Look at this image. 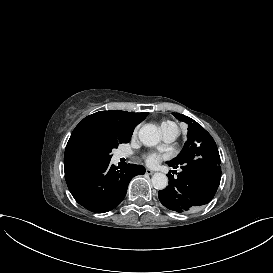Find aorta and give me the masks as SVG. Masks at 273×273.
Returning a JSON list of instances; mask_svg holds the SVG:
<instances>
[{
    "label": "aorta",
    "instance_id": "762f6f07",
    "mask_svg": "<svg viewBox=\"0 0 273 273\" xmlns=\"http://www.w3.org/2000/svg\"><path fill=\"white\" fill-rule=\"evenodd\" d=\"M140 141L148 147L157 145L161 140V134L156 126L146 124L141 127L138 133ZM152 185L157 190H163L168 185V178L163 173H155L151 178Z\"/></svg>",
    "mask_w": 273,
    "mask_h": 273
}]
</instances>
